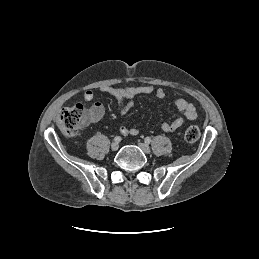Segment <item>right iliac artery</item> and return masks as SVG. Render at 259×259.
<instances>
[{
    "label": "right iliac artery",
    "instance_id": "82829eb1",
    "mask_svg": "<svg viewBox=\"0 0 259 259\" xmlns=\"http://www.w3.org/2000/svg\"><path fill=\"white\" fill-rule=\"evenodd\" d=\"M121 140H122V138L120 136H116L114 138V141L117 142V143H119Z\"/></svg>",
    "mask_w": 259,
    "mask_h": 259
}]
</instances>
